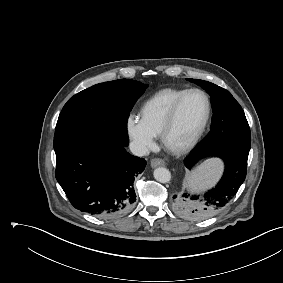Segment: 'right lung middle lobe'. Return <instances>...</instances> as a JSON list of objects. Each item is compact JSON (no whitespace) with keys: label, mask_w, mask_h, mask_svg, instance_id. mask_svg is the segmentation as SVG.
Instances as JSON below:
<instances>
[{"label":"right lung middle lobe","mask_w":283,"mask_h":283,"mask_svg":"<svg viewBox=\"0 0 283 283\" xmlns=\"http://www.w3.org/2000/svg\"><path fill=\"white\" fill-rule=\"evenodd\" d=\"M147 86L119 79L94 85L74 95L64 105L56 124L55 153L92 137L109 138L127 146L129 113Z\"/></svg>","instance_id":"right-lung-middle-lobe-1"}]
</instances>
